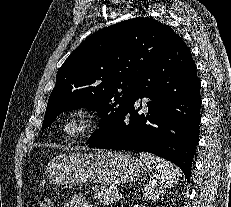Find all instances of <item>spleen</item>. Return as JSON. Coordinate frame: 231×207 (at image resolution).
<instances>
[{
    "label": "spleen",
    "instance_id": "3e777b00",
    "mask_svg": "<svg viewBox=\"0 0 231 207\" xmlns=\"http://www.w3.org/2000/svg\"><path fill=\"white\" fill-rule=\"evenodd\" d=\"M139 155L152 174L144 188L146 198L156 199L177 183L182 174L177 166L149 153L142 152Z\"/></svg>",
    "mask_w": 231,
    "mask_h": 207
}]
</instances>
